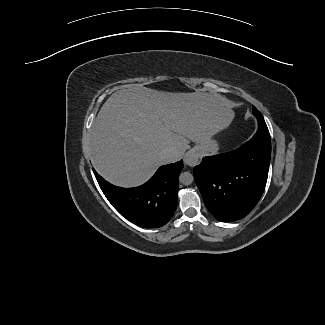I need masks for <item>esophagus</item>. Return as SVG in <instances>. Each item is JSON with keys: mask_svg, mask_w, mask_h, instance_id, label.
Here are the masks:
<instances>
[{"mask_svg": "<svg viewBox=\"0 0 325 325\" xmlns=\"http://www.w3.org/2000/svg\"><path fill=\"white\" fill-rule=\"evenodd\" d=\"M184 162L190 167H194L199 162V153L196 149H190L184 156Z\"/></svg>", "mask_w": 325, "mask_h": 325, "instance_id": "esophagus-1", "label": "esophagus"}]
</instances>
